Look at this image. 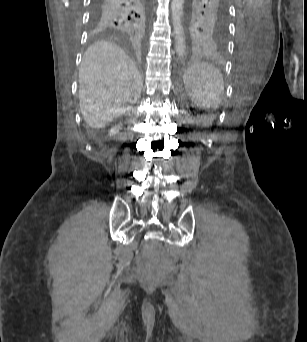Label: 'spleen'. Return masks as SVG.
<instances>
[{
	"mask_svg": "<svg viewBox=\"0 0 307 342\" xmlns=\"http://www.w3.org/2000/svg\"><path fill=\"white\" fill-rule=\"evenodd\" d=\"M185 69L183 83L187 84L186 88L192 100L199 108H210L209 112L214 114L224 92V80L220 70L203 62H194Z\"/></svg>",
	"mask_w": 307,
	"mask_h": 342,
	"instance_id": "3e777b00",
	"label": "spleen"
}]
</instances>
